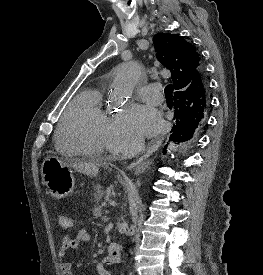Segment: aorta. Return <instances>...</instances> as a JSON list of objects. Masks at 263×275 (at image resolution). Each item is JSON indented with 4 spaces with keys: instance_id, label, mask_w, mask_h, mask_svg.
Segmentation results:
<instances>
[{
    "instance_id": "aorta-1",
    "label": "aorta",
    "mask_w": 263,
    "mask_h": 275,
    "mask_svg": "<svg viewBox=\"0 0 263 275\" xmlns=\"http://www.w3.org/2000/svg\"><path fill=\"white\" fill-rule=\"evenodd\" d=\"M141 76V70L136 62L120 64L115 71L110 87V99L119 103L127 101L133 93Z\"/></svg>"
}]
</instances>
